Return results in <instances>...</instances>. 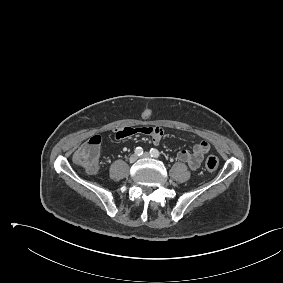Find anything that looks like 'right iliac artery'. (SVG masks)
<instances>
[{
	"mask_svg": "<svg viewBox=\"0 0 283 283\" xmlns=\"http://www.w3.org/2000/svg\"><path fill=\"white\" fill-rule=\"evenodd\" d=\"M135 154H137L138 156L142 155L143 154V149L141 147H137L135 149Z\"/></svg>",
	"mask_w": 283,
	"mask_h": 283,
	"instance_id": "82829eb1",
	"label": "right iliac artery"
}]
</instances>
